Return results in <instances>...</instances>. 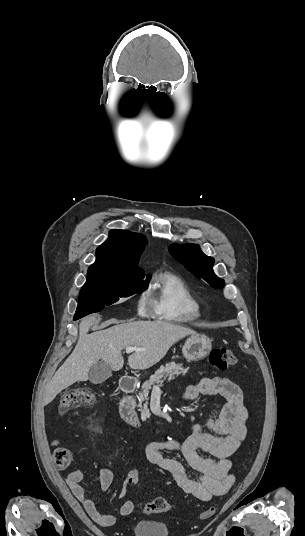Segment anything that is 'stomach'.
I'll list each match as a JSON object with an SVG mask.
<instances>
[{
	"mask_svg": "<svg viewBox=\"0 0 305 536\" xmlns=\"http://www.w3.org/2000/svg\"><path fill=\"white\" fill-rule=\"evenodd\" d=\"M212 350V342L207 336L203 334H193L190 338H187L183 348L182 354L186 360H203Z\"/></svg>",
	"mask_w": 305,
	"mask_h": 536,
	"instance_id": "0dacf381",
	"label": "stomach"
}]
</instances>
